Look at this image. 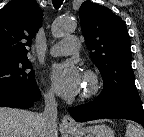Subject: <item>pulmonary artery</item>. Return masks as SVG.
Returning <instances> with one entry per match:
<instances>
[{
    "mask_svg": "<svg viewBox=\"0 0 144 137\" xmlns=\"http://www.w3.org/2000/svg\"><path fill=\"white\" fill-rule=\"evenodd\" d=\"M80 47V42L77 37H65L55 44L49 51L53 56H65L77 52Z\"/></svg>",
    "mask_w": 144,
    "mask_h": 137,
    "instance_id": "e3ab8cb5",
    "label": "pulmonary artery"
}]
</instances>
